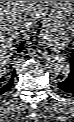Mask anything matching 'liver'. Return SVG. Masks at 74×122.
<instances>
[{"label":"liver","instance_id":"liver-1","mask_svg":"<svg viewBox=\"0 0 74 122\" xmlns=\"http://www.w3.org/2000/svg\"><path fill=\"white\" fill-rule=\"evenodd\" d=\"M56 6L57 1H0V68L4 73L19 37L34 28L43 16V6ZM25 31L20 29L25 24Z\"/></svg>","mask_w":74,"mask_h":122}]
</instances>
